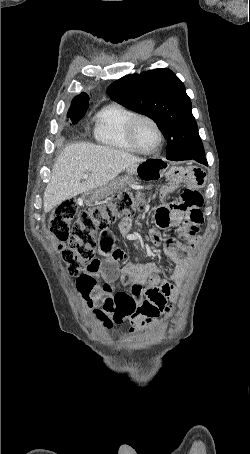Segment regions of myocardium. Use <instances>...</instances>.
I'll return each mask as SVG.
<instances>
[{
  "label": "myocardium",
  "mask_w": 250,
  "mask_h": 454,
  "mask_svg": "<svg viewBox=\"0 0 250 454\" xmlns=\"http://www.w3.org/2000/svg\"><path fill=\"white\" fill-rule=\"evenodd\" d=\"M141 121H147V122L151 123L157 131L158 143L153 149L146 150V149L142 148L141 145L137 141L136 128H137L138 123ZM128 139L138 152L143 153V154H154L161 148V146L164 142V133L162 131L161 126L154 118H152L151 116L145 115V114H136L130 120V122L128 124Z\"/></svg>",
  "instance_id": "f54148a6"
}]
</instances>
